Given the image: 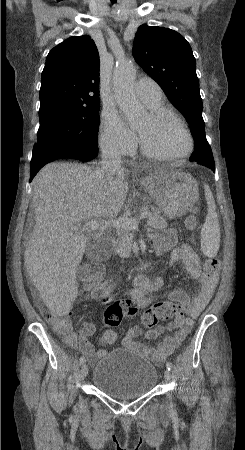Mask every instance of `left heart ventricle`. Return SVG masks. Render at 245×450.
Returning a JSON list of instances; mask_svg holds the SVG:
<instances>
[{
  "label": "left heart ventricle",
  "mask_w": 245,
  "mask_h": 450,
  "mask_svg": "<svg viewBox=\"0 0 245 450\" xmlns=\"http://www.w3.org/2000/svg\"><path fill=\"white\" fill-rule=\"evenodd\" d=\"M137 132L145 146L160 155H180L189 145L183 129L169 118L156 122L148 115L138 125Z\"/></svg>",
  "instance_id": "b2bd125f"
}]
</instances>
